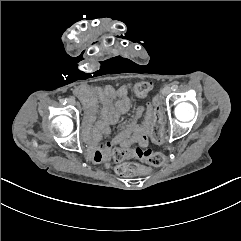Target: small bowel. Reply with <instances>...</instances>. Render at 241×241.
Here are the masks:
<instances>
[{
  "mask_svg": "<svg viewBox=\"0 0 241 241\" xmlns=\"http://www.w3.org/2000/svg\"><path fill=\"white\" fill-rule=\"evenodd\" d=\"M129 88L130 85L117 88L112 86L104 88L80 86L75 89V95L83 102L86 109V126L83 129V134L88 138V143L92 148H96L102 135L110 134L111 126L117 123L121 114L129 110ZM98 102L101 103L102 108L101 117L96 122L95 109ZM136 115L142 116L141 123L126 125L110 141L96 148L89 155L94 163L108 160L113 147L130 149L141 144L148 145L154 110L148 105L138 106Z\"/></svg>",
  "mask_w": 241,
  "mask_h": 241,
  "instance_id": "c3829d8e",
  "label": "small bowel"
}]
</instances>
